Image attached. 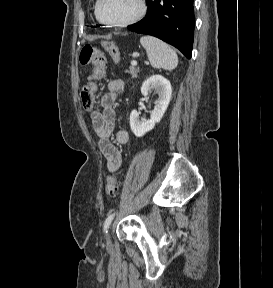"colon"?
<instances>
[{
	"label": "colon",
	"instance_id": "obj_1",
	"mask_svg": "<svg viewBox=\"0 0 273 288\" xmlns=\"http://www.w3.org/2000/svg\"><path fill=\"white\" fill-rule=\"evenodd\" d=\"M105 50L114 61L120 60V52L118 47L113 42H106ZM79 61L82 65H92L93 70L90 76V81L83 86L80 92L82 106L86 110H91L94 105L95 85L94 80L101 79L104 76L106 69V58L104 53L91 45H85L79 54ZM119 182L115 176H108L105 192L108 197L113 198L117 194Z\"/></svg>",
	"mask_w": 273,
	"mask_h": 288
}]
</instances>
